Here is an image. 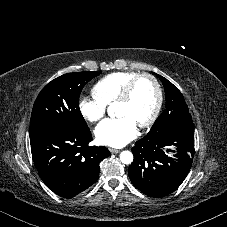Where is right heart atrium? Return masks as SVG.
Wrapping results in <instances>:
<instances>
[{
    "label": "right heart atrium",
    "mask_w": 227,
    "mask_h": 227,
    "mask_svg": "<svg viewBox=\"0 0 227 227\" xmlns=\"http://www.w3.org/2000/svg\"><path fill=\"white\" fill-rule=\"evenodd\" d=\"M106 109L107 105L95 94L85 95L79 101L80 114L89 122L100 120Z\"/></svg>",
    "instance_id": "d8ad5b80"
}]
</instances>
